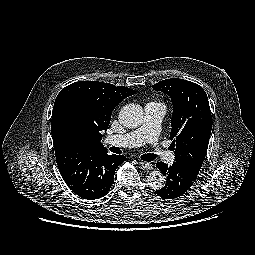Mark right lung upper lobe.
<instances>
[{
  "label": "right lung upper lobe",
  "instance_id": "obj_1",
  "mask_svg": "<svg viewBox=\"0 0 255 255\" xmlns=\"http://www.w3.org/2000/svg\"><path fill=\"white\" fill-rule=\"evenodd\" d=\"M135 91L97 81H80L58 94L51 120L55 153L66 149L107 151L100 142L112 111Z\"/></svg>",
  "mask_w": 255,
  "mask_h": 255
}]
</instances>
